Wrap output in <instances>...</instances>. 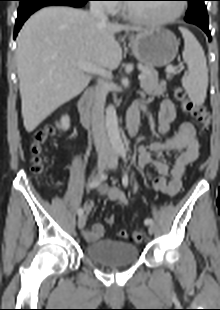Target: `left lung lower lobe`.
<instances>
[{
    "label": "left lung lower lobe",
    "mask_w": 220,
    "mask_h": 310,
    "mask_svg": "<svg viewBox=\"0 0 220 310\" xmlns=\"http://www.w3.org/2000/svg\"><path fill=\"white\" fill-rule=\"evenodd\" d=\"M195 25L199 26L208 35L209 40H211V35L208 29V25H202V24H195Z\"/></svg>",
    "instance_id": "0a47b994"
}]
</instances>
